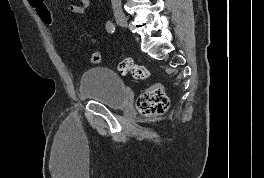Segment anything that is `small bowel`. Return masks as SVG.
Returning <instances> with one entry per match:
<instances>
[{
    "mask_svg": "<svg viewBox=\"0 0 264 178\" xmlns=\"http://www.w3.org/2000/svg\"><path fill=\"white\" fill-rule=\"evenodd\" d=\"M90 5V0H78L69 6L68 10L70 13L84 15Z\"/></svg>",
    "mask_w": 264,
    "mask_h": 178,
    "instance_id": "c3829d8e",
    "label": "small bowel"
}]
</instances>
